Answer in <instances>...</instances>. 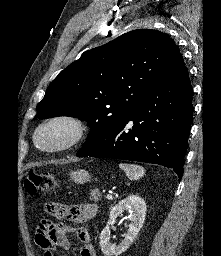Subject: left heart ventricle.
Listing matches in <instances>:
<instances>
[{
    "label": "left heart ventricle",
    "instance_id": "1",
    "mask_svg": "<svg viewBox=\"0 0 221 256\" xmlns=\"http://www.w3.org/2000/svg\"><path fill=\"white\" fill-rule=\"evenodd\" d=\"M69 135V130L62 125H55L44 129L39 135L43 145L53 146L64 141Z\"/></svg>",
    "mask_w": 221,
    "mask_h": 256
}]
</instances>
